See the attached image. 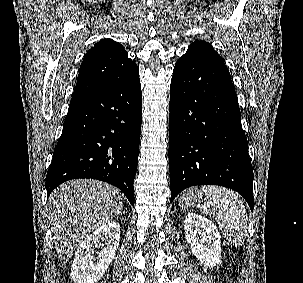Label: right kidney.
<instances>
[{"label": "right kidney", "mask_w": 303, "mask_h": 283, "mask_svg": "<svg viewBox=\"0 0 303 283\" xmlns=\"http://www.w3.org/2000/svg\"><path fill=\"white\" fill-rule=\"evenodd\" d=\"M120 226L109 222L87 236L77 249L71 269L74 283H97L118 249ZM100 249L95 252V249Z\"/></svg>", "instance_id": "right-kidney-1"}]
</instances>
